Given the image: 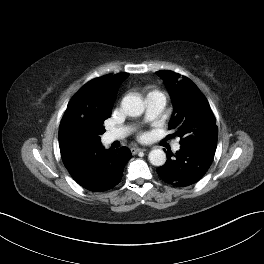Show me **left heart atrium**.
Listing matches in <instances>:
<instances>
[{"label":"left heart atrium","instance_id":"left-heart-atrium-1","mask_svg":"<svg viewBox=\"0 0 264 264\" xmlns=\"http://www.w3.org/2000/svg\"><path fill=\"white\" fill-rule=\"evenodd\" d=\"M140 137H141L142 140H144L146 138V135L142 134Z\"/></svg>","mask_w":264,"mask_h":264}]
</instances>
